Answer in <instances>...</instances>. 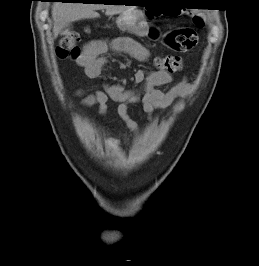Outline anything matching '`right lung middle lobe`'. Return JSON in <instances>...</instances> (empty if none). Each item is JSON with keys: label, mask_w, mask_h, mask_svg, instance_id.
I'll return each instance as SVG.
<instances>
[{"label": "right lung middle lobe", "mask_w": 259, "mask_h": 266, "mask_svg": "<svg viewBox=\"0 0 259 266\" xmlns=\"http://www.w3.org/2000/svg\"><path fill=\"white\" fill-rule=\"evenodd\" d=\"M64 1H68V0H64ZM69 1H70V0H69ZM86 1H88V2H89V1H91V0H86ZM62 2H63V1H62Z\"/></svg>", "instance_id": "right-lung-middle-lobe-1"}]
</instances>
